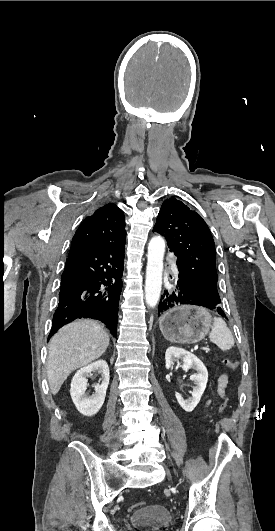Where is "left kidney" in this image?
Returning a JSON list of instances; mask_svg holds the SVG:
<instances>
[{"label": "left kidney", "instance_id": "5707ae66", "mask_svg": "<svg viewBox=\"0 0 275 531\" xmlns=\"http://www.w3.org/2000/svg\"><path fill=\"white\" fill-rule=\"evenodd\" d=\"M177 359H182L183 371H188V369H191V367L197 371V373H194V375H191L190 377L191 381H194L195 385H197V387H194L193 389L192 397L187 399V401H184L183 397H181L179 393H175V397L182 409L187 411V413H191V411L197 407L206 389V385L208 383V371L205 365H203L202 361H200L196 355H192V353L185 351V349H178V347H168L165 353L166 369H170L171 365H174V361H177Z\"/></svg>", "mask_w": 275, "mask_h": 531}]
</instances>
